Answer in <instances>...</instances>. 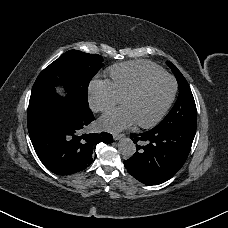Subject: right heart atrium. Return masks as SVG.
<instances>
[{
	"label": "right heart atrium",
	"instance_id": "right-heart-atrium-1",
	"mask_svg": "<svg viewBox=\"0 0 228 228\" xmlns=\"http://www.w3.org/2000/svg\"><path fill=\"white\" fill-rule=\"evenodd\" d=\"M121 98L109 80L93 81L89 87V103L97 112H106L119 104Z\"/></svg>",
	"mask_w": 228,
	"mask_h": 228
}]
</instances>
